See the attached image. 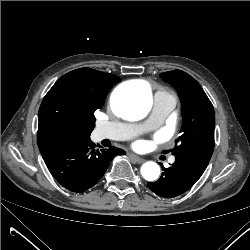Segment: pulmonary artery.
<instances>
[{
	"mask_svg": "<svg viewBox=\"0 0 250 250\" xmlns=\"http://www.w3.org/2000/svg\"><path fill=\"white\" fill-rule=\"evenodd\" d=\"M176 105L175 98L163 93H156L154 104L149 118L138 124L122 122H106L97 128V138L112 140H127L141 132L160 126ZM175 159L170 158V163Z\"/></svg>",
	"mask_w": 250,
	"mask_h": 250,
	"instance_id": "pulmonary-artery-1",
	"label": "pulmonary artery"
}]
</instances>
